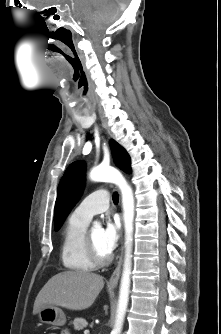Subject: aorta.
<instances>
[{
  "label": "aorta",
  "instance_id": "762f6f07",
  "mask_svg": "<svg viewBox=\"0 0 221 334\" xmlns=\"http://www.w3.org/2000/svg\"><path fill=\"white\" fill-rule=\"evenodd\" d=\"M90 179L95 182H110L116 184L122 194L123 217L125 226V259L121 277L119 300L116 311L115 325L111 334H120L128 306L131 274L132 233L134 220V197L131 187L122 174L113 167L97 166L90 172ZM95 227L100 224L95 222Z\"/></svg>",
  "mask_w": 221,
  "mask_h": 334
}]
</instances>
